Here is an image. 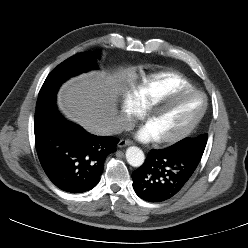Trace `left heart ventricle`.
<instances>
[{
  "mask_svg": "<svg viewBox=\"0 0 248 248\" xmlns=\"http://www.w3.org/2000/svg\"><path fill=\"white\" fill-rule=\"evenodd\" d=\"M203 105V97L198 94L178 98L154 115L147 125L158 138L173 135L193 121Z\"/></svg>",
  "mask_w": 248,
  "mask_h": 248,
  "instance_id": "obj_1",
  "label": "left heart ventricle"
}]
</instances>
